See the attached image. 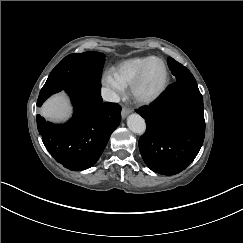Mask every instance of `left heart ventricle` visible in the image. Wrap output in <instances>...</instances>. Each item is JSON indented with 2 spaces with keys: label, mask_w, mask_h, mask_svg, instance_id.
Here are the masks:
<instances>
[{
  "label": "left heart ventricle",
  "mask_w": 243,
  "mask_h": 243,
  "mask_svg": "<svg viewBox=\"0 0 243 243\" xmlns=\"http://www.w3.org/2000/svg\"><path fill=\"white\" fill-rule=\"evenodd\" d=\"M166 72L160 62H153L140 89V94L149 96L158 91L165 82Z\"/></svg>",
  "instance_id": "left-heart-ventricle-1"
}]
</instances>
